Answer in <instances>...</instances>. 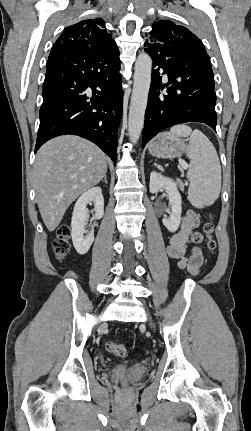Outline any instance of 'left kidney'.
I'll return each mask as SVG.
<instances>
[{
  "instance_id": "5707ae66",
  "label": "left kidney",
  "mask_w": 251,
  "mask_h": 431,
  "mask_svg": "<svg viewBox=\"0 0 251 431\" xmlns=\"http://www.w3.org/2000/svg\"><path fill=\"white\" fill-rule=\"evenodd\" d=\"M161 188L168 194L171 205L170 218H163L164 226L170 232H176L181 222L182 198L177 189V183L171 178L163 176L161 173L151 172L149 190L151 193L158 192Z\"/></svg>"
}]
</instances>
